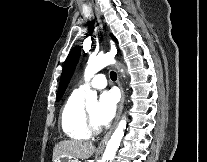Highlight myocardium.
<instances>
[{
  "label": "myocardium",
  "mask_w": 207,
  "mask_h": 162,
  "mask_svg": "<svg viewBox=\"0 0 207 162\" xmlns=\"http://www.w3.org/2000/svg\"><path fill=\"white\" fill-rule=\"evenodd\" d=\"M84 115H85L86 127L90 131V133L92 134L99 133L101 130L100 125L94 122L87 108L84 109Z\"/></svg>",
  "instance_id": "myocardium-1"
}]
</instances>
